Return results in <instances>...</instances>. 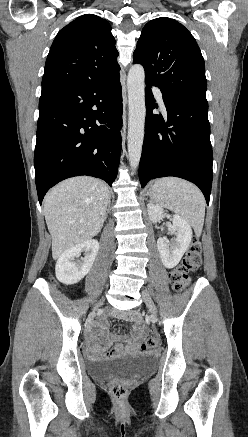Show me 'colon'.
<instances>
[{
    "mask_svg": "<svg viewBox=\"0 0 248 437\" xmlns=\"http://www.w3.org/2000/svg\"><path fill=\"white\" fill-rule=\"evenodd\" d=\"M202 248L198 240H193L181 262V264L169 273V281L173 289L181 292L186 287L189 279V273L196 270L201 264ZM155 337L147 338L141 348L144 351L154 349L157 346ZM110 390L114 397L118 400H123L127 395V388L124 384L114 382L110 384Z\"/></svg>",
    "mask_w": 248,
    "mask_h": 437,
    "instance_id": "5ec220e1",
    "label": "colon"
}]
</instances>
